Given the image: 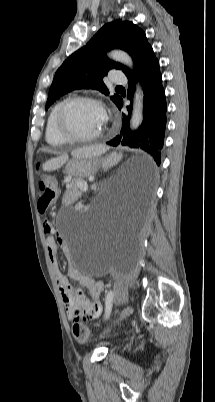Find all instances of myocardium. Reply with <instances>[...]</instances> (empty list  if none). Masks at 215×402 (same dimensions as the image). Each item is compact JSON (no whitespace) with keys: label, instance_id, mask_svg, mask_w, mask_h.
I'll list each match as a JSON object with an SVG mask.
<instances>
[{"label":"myocardium","instance_id":"1","mask_svg":"<svg viewBox=\"0 0 215 402\" xmlns=\"http://www.w3.org/2000/svg\"><path fill=\"white\" fill-rule=\"evenodd\" d=\"M77 102H88L97 105L103 111L105 119H107L108 117L107 111L101 100L92 96L77 95L65 99L60 104L56 113V128L59 134L69 142H77V143L93 142L103 136L104 129H101L99 132L90 136H80L71 132L66 125L65 121L66 112L71 105Z\"/></svg>","mask_w":215,"mask_h":402}]
</instances>
